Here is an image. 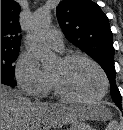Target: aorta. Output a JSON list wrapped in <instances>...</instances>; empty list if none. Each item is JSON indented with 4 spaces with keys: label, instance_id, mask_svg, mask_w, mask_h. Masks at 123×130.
Listing matches in <instances>:
<instances>
[{
    "label": "aorta",
    "instance_id": "obj_1",
    "mask_svg": "<svg viewBox=\"0 0 123 130\" xmlns=\"http://www.w3.org/2000/svg\"><path fill=\"white\" fill-rule=\"evenodd\" d=\"M51 24V12L47 8H40L33 14L29 24L25 43L44 67L50 66L54 61V54L46 43V34Z\"/></svg>",
    "mask_w": 123,
    "mask_h": 130
}]
</instances>
